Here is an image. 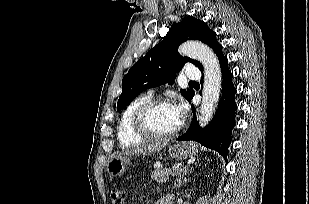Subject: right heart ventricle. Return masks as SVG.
<instances>
[{"label":"right heart ventricle","mask_w":309,"mask_h":204,"mask_svg":"<svg viewBox=\"0 0 309 204\" xmlns=\"http://www.w3.org/2000/svg\"><path fill=\"white\" fill-rule=\"evenodd\" d=\"M150 98L151 96L148 94L135 98L122 113L117 130L118 140L121 147L137 146L144 141L142 137L134 132L132 128V118L136 109Z\"/></svg>","instance_id":"right-heart-ventricle-1"}]
</instances>
